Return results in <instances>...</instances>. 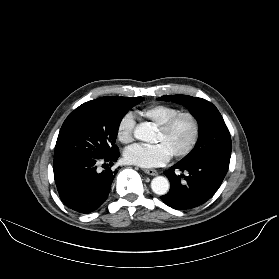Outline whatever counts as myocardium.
<instances>
[{
  "label": "myocardium",
  "instance_id": "f54148a6",
  "mask_svg": "<svg viewBox=\"0 0 279 279\" xmlns=\"http://www.w3.org/2000/svg\"><path fill=\"white\" fill-rule=\"evenodd\" d=\"M182 117H187L190 119L192 123V135L190 141L188 142V144L185 146L184 149L172 154L174 158H183L187 156L194 149L200 134V124L198 118L194 113L190 111H180L175 115H173L172 117H170L166 122H164L162 125L158 127L161 133L167 134L171 131V129L176 124V122Z\"/></svg>",
  "mask_w": 279,
  "mask_h": 279
}]
</instances>
